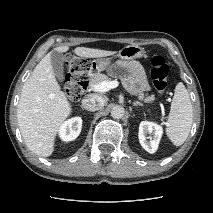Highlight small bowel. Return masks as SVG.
I'll list each match as a JSON object with an SVG mask.
<instances>
[{
	"instance_id": "small-bowel-1",
	"label": "small bowel",
	"mask_w": 213,
	"mask_h": 213,
	"mask_svg": "<svg viewBox=\"0 0 213 213\" xmlns=\"http://www.w3.org/2000/svg\"><path fill=\"white\" fill-rule=\"evenodd\" d=\"M116 69L126 72L123 81L130 91L134 93H142L148 90L149 87L146 73L139 62L120 61L117 63Z\"/></svg>"
}]
</instances>
